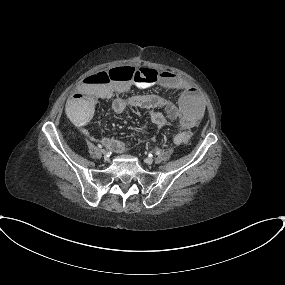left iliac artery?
I'll return each instance as SVG.
<instances>
[{"instance_id": "obj_1", "label": "left iliac artery", "mask_w": 285, "mask_h": 285, "mask_svg": "<svg viewBox=\"0 0 285 285\" xmlns=\"http://www.w3.org/2000/svg\"><path fill=\"white\" fill-rule=\"evenodd\" d=\"M156 155H159L160 154V151H156V153H155Z\"/></svg>"}]
</instances>
